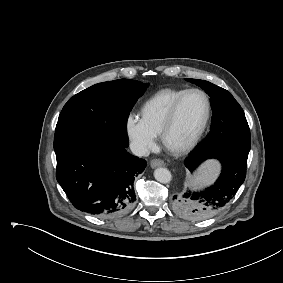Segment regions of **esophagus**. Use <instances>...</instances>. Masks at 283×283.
<instances>
[{"instance_id":"34e87169","label":"esophagus","mask_w":283,"mask_h":283,"mask_svg":"<svg viewBox=\"0 0 283 283\" xmlns=\"http://www.w3.org/2000/svg\"><path fill=\"white\" fill-rule=\"evenodd\" d=\"M150 165L152 168L160 167V166H165V162L161 159H153L150 162Z\"/></svg>"}]
</instances>
